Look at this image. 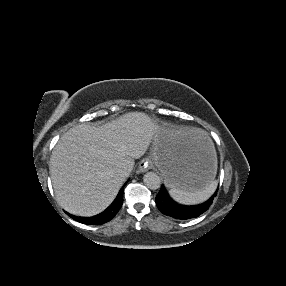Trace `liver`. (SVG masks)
Returning <instances> with one entry per match:
<instances>
[{"label": "liver", "instance_id": "6515ba94", "mask_svg": "<svg viewBox=\"0 0 286 286\" xmlns=\"http://www.w3.org/2000/svg\"><path fill=\"white\" fill-rule=\"evenodd\" d=\"M147 114L130 112L100 127L81 124L62 135L50 157V177L63 209L78 216H93L107 208L126 177L119 165L131 170L134 160L154 144L161 130ZM170 146L201 138L195 128L166 129Z\"/></svg>", "mask_w": 286, "mask_h": 286}]
</instances>
